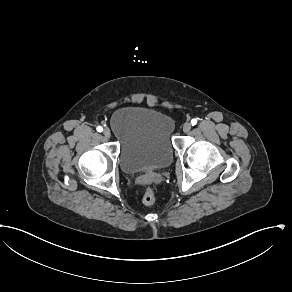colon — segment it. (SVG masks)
Returning <instances> with one entry per match:
<instances>
[{"label": "colon", "mask_w": 292, "mask_h": 292, "mask_svg": "<svg viewBox=\"0 0 292 292\" xmlns=\"http://www.w3.org/2000/svg\"><path fill=\"white\" fill-rule=\"evenodd\" d=\"M156 201V191L152 185L146 186L142 196V203L145 206H152Z\"/></svg>", "instance_id": "1"}]
</instances>
